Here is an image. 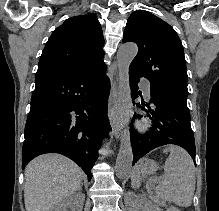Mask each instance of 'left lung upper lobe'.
<instances>
[{
	"label": "left lung upper lobe",
	"mask_w": 219,
	"mask_h": 211,
	"mask_svg": "<svg viewBox=\"0 0 219 211\" xmlns=\"http://www.w3.org/2000/svg\"><path fill=\"white\" fill-rule=\"evenodd\" d=\"M135 42L138 53L129 71L150 81V87L187 106V69L175 30L157 16L135 11L128 18L123 43Z\"/></svg>",
	"instance_id": "5c2ea615"
}]
</instances>
